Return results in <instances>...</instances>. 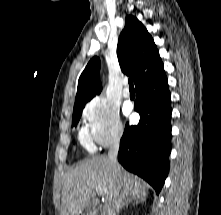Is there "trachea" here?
Here are the masks:
<instances>
[{
    "label": "trachea",
    "instance_id": "obj_1",
    "mask_svg": "<svg viewBox=\"0 0 221 215\" xmlns=\"http://www.w3.org/2000/svg\"><path fill=\"white\" fill-rule=\"evenodd\" d=\"M128 83H129L131 89L134 88L132 78H129Z\"/></svg>",
    "mask_w": 221,
    "mask_h": 215
}]
</instances>
